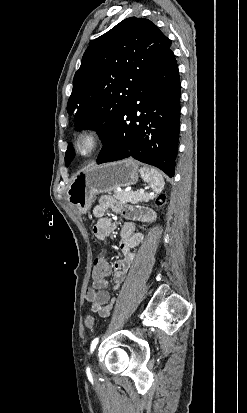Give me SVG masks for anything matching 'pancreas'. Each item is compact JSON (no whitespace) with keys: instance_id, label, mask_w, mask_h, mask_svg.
Instances as JSON below:
<instances>
[{"instance_id":"1","label":"pancreas","mask_w":247,"mask_h":413,"mask_svg":"<svg viewBox=\"0 0 247 413\" xmlns=\"http://www.w3.org/2000/svg\"><path fill=\"white\" fill-rule=\"evenodd\" d=\"M110 194H112V192H110ZM113 196L114 198H117L121 204H125V202L137 204V202H148V200L154 198V194H149V192H137V190H128V192H124V190H114Z\"/></svg>"}]
</instances>
